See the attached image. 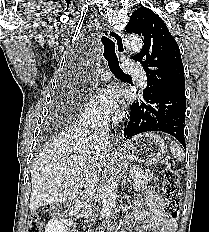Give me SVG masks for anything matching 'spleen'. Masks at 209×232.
Masks as SVG:
<instances>
[{
	"label": "spleen",
	"mask_w": 209,
	"mask_h": 232,
	"mask_svg": "<svg viewBox=\"0 0 209 232\" xmlns=\"http://www.w3.org/2000/svg\"><path fill=\"white\" fill-rule=\"evenodd\" d=\"M170 150H171V153L174 155V157L178 161H181L184 159V156H185L184 151L178 143L172 142Z\"/></svg>",
	"instance_id": "spleen-1"
}]
</instances>
